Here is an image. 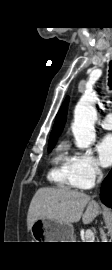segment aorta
Masks as SVG:
<instances>
[{"label": "aorta", "mask_w": 112, "mask_h": 270, "mask_svg": "<svg viewBox=\"0 0 112 270\" xmlns=\"http://www.w3.org/2000/svg\"><path fill=\"white\" fill-rule=\"evenodd\" d=\"M96 100L97 95L94 92H86L75 107L71 128L78 148H87L95 141Z\"/></svg>", "instance_id": "aorta-1"}]
</instances>
